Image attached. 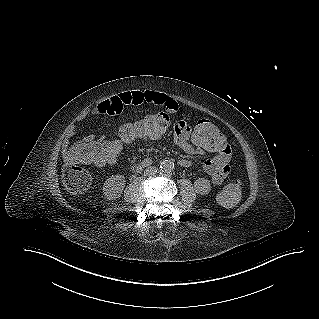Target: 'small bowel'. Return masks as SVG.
<instances>
[{
	"label": "small bowel",
	"mask_w": 319,
	"mask_h": 319,
	"mask_svg": "<svg viewBox=\"0 0 319 319\" xmlns=\"http://www.w3.org/2000/svg\"><path fill=\"white\" fill-rule=\"evenodd\" d=\"M130 105H152L163 108L169 112H175L179 108L180 102L179 99H171L165 94L156 91L123 92L117 96L100 102L89 112V115L104 116L105 118L118 120L125 115L126 107ZM170 128L174 132L173 140L175 144L182 148L186 153L190 155L201 156L207 152L200 149L196 144L189 140L188 135L191 134L192 129L191 121H171ZM75 133L76 130L74 128L69 130L67 138L63 143V148L65 151L71 148L69 145V138ZM86 141L94 142L96 140L89 136L86 138ZM220 147L222 148L220 151L216 152L213 157L205 160L203 163V170L210 177V181L213 185L222 184L229 175L231 169L229 159L233 148L225 141L220 143ZM148 164H150L149 160H145L141 163L142 166H146ZM179 164L182 167H189L191 162L188 159H181Z\"/></svg>",
	"instance_id": "obj_1"
}]
</instances>
